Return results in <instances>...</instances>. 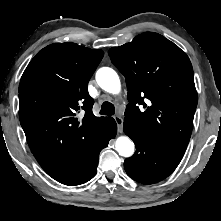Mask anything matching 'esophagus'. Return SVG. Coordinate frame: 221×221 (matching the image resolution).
I'll use <instances>...</instances> for the list:
<instances>
[{"mask_svg": "<svg viewBox=\"0 0 221 221\" xmlns=\"http://www.w3.org/2000/svg\"><path fill=\"white\" fill-rule=\"evenodd\" d=\"M114 120H115V122L117 124L118 132L121 133L122 130H123V119L121 117H119V116H115Z\"/></svg>", "mask_w": 221, "mask_h": 221, "instance_id": "34e87169", "label": "esophagus"}]
</instances>
